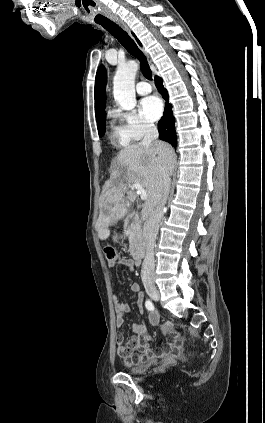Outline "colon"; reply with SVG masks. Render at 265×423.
<instances>
[{"instance_id":"5ec220e1","label":"colon","mask_w":265,"mask_h":423,"mask_svg":"<svg viewBox=\"0 0 265 423\" xmlns=\"http://www.w3.org/2000/svg\"><path fill=\"white\" fill-rule=\"evenodd\" d=\"M114 239H115V241H120V240H122L123 239V235L121 234V233H116L115 235H114ZM104 254H105V257H106V259L108 260V261H114V260H116V258H117V250H116V248L115 247H113V246H106L105 248H104ZM172 329H174V324L173 323H171V322H166L163 326H162V330L163 331H170V330H172Z\"/></svg>"}]
</instances>
